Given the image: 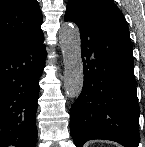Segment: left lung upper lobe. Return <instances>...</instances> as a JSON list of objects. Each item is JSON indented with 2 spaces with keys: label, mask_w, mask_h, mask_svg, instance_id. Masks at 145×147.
<instances>
[{
  "label": "left lung upper lobe",
  "mask_w": 145,
  "mask_h": 147,
  "mask_svg": "<svg viewBox=\"0 0 145 147\" xmlns=\"http://www.w3.org/2000/svg\"><path fill=\"white\" fill-rule=\"evenodd\" d=\"M79 7L89 11L102 12L110 11L123 15L112 0H69L67 9Z\"/></svg>",
  "instance_id": "5c2ea615"
}]
</instances>
